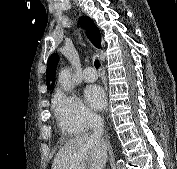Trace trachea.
Returning a JSON list of instances; mask_svg holds the SVG:
<instances>
[{
    "mask_svg": "<svg viewBox=\"0 0 177 169\" xmlns=\"http://www.w3.org/2000/svg\"><path fill=\"white\" fill-rule=\"evenodd\" d=\"M94 65L97 69L100 67V63L98 59H95Z\"/></svg>",
    "mask_w": 177,
    "mask_h": 169,
    "instance_id": "obj_1",
    "label": "trachea"
}]
</instances>
